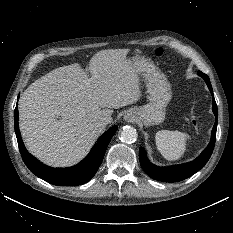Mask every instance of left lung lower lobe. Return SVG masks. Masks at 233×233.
Instances as JSON below:
<instances>
[{"label": "left lung lower lobe", "instance_id": "1", "mask_svg": "<svg viewBox=\"0 0 233 233\" xmlns=\"http://www.w3.org/2000/svg\"><path fill=\"white\" fill-rule=\"evenodd\" d=\"M198 75L201 76L205 80L213 96L212 109H213L214 115L216 116V122L212 129L210 143L195 160L189 163L173 165V166H168V167H158L150 163L146 156L144 149L140 148L139 159H140L141 167L143 168L146 174H148L151 178L155 180L163 181V182H178V181L184 180L192 176L193 174H195L202 167H204L213 152L215 140H216L218 109H217V105L214 99L213 89H212L209 77L200 71H198Z\"/></svg>", "mask_w": 233, "mask_h": 233}]
</instances>
